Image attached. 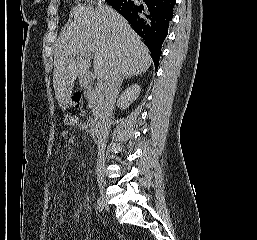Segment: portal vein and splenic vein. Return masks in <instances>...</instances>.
<instances>
[{
	"mask_svg": "<svg viewBox=\"0 0 257 240\" xmlns=\"http://www.w3.org/2000/svg\"><path fill=\"white\" fill-rule=\"evenodd\" d=\"M102 88V85L99 84L98 87L96 88V90H100Z\"/></svg>",
	"mask_w": 257,
	"mask_h": 240,
	"instance_id": "18ae733b",
	"label": "portal vein and splenic vein"
}]
</instances>
